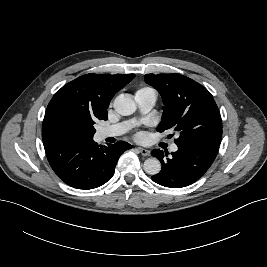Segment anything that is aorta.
Segmentation results:
<instances>
[{
  "label": "aorta",
  "instance_id": "obj_1",
  "mask_svg": "<svg viewBox=\"0 0 267 267\" xmlns=\"http://www.w3.org/2000/svg\"><path fill=\"white\" fill-rule=\"evenodd\" d=\"M114 109L122 116H128L136 111V103L132 97L127 95H119L113 103ZM144 171L150 175H156L161 171V163L156 158H148L144 162Z\"/></svg>",
  "mask_w": 267,
  "mask_h": 267
}]
</instances>
